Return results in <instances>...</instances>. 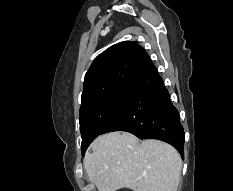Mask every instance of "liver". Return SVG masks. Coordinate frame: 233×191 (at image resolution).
Wrapping results in <instances>:
<instances>
[{"label":"liver","mask_w":233,"mask_h":191,"mask_svg":"<svg viewBox=\"0 0 233 191\" xmlns=\"http://www.w3.org/2000/svg\"><path fill=\"white\" fill-rule=\"evenodd\" d=\"M84 167L98 191H177L182 160L160 140L139 139L124 131L98 136L84 157Z\"/></svg>","instance_id":"6515ba94"}]
</instances>
